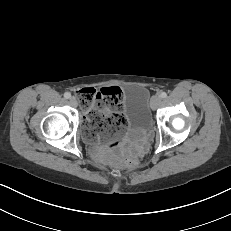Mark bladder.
Returning <instances> with one entry per match:
<instances>
[{
	"instance_id": "bladder-1",
	"label": "bladder",
	"mask_w": 231,
	"mask_h": 231,
	"mask_svg": "<svg viewBox=\"0 0 231 231\" xmlns=\"http://www.w3.org/2000/svg\"><path fill=\"white\" fill-rule=\"evenodd\" d=\"M122 102L130 126L140 133L149 132L152 128V117L148 91L140 85L131 84L126 87ZM80 132L83 140L92 139L86 124L81 126Z\"/></svg>"
}]
</instances>
